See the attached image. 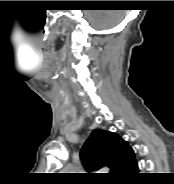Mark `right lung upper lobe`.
Masks as SVG:
<instances>
[{
  "mask_svg": "<svg viewBox=\"0 0 174 184\" xmlns=\"http://www.w3.org/2000/svg\"><path fill=\"white\" fill-rule=\"evenodd\" d=\"M80 156L87 169L96 171L107 166L111 176L116 177L134 159V152L117 134L95 129L82 147Z\"/></svg>",
  "mask_w": 174,
  "mask_h": 184,
  "instance_id": "1",
  "label": "right lung upper lobe"
}]
</instances>
